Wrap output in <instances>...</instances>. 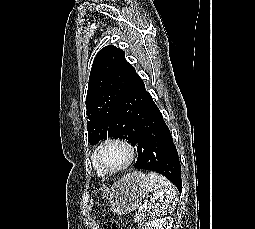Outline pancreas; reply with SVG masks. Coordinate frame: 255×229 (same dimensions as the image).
<instances>
[{
	"label": "pancreas",
	"instance_id": "1",
	"mask_svg": "<svg viewBox=\"0 0 255 229\" xmlns=\"http://www.w3.org/2000/svg\"><path fill=\"white\" fill-rule=\"evenodd\" d=\"M135 219H136V222H138V225L142 226L144 224L145 219H146L145 210L138 211L136 213Z\"/></svg>",
	"mask_w": 255,
	"mask_h": 229
}]
</instances>
